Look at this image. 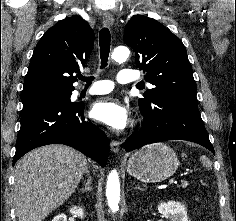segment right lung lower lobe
I'll use <instances>...</instances> for the list:
<instances>
[{"label": "right lung lower lobe", "instance_id": "1", "mask_svg": "<svg viewBox=\"0 0 236 221\" xmlns=\"http://www.w3.org/2000/svg\"><path fill=\"white\" fill-rule=\"evenodd\" d=\"M83 111V103L58 100L23 104L13 164L36 147L65 144L104 167L109 152L108 138L97 126L85 120Z\"/></svg>", "mask_w": 236, "mask_h": 221}]
</instances>
